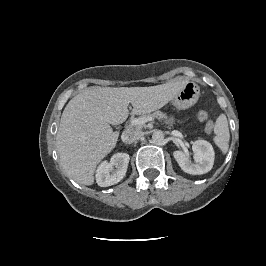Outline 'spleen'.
<instances>
[{"label": "spleen", "mask_w": 266, "mask_h": 266, "mask_svg": "<svg viewBox=\"0 0 266 266\" xmlns=\"http://www.w3.org/2000/svg\"><path fill=\"white\" fill-rule=\"evenodd\" d=\"M214 142L218 148L225 154L229 148L230 133L228 128V121L224 114H221L216 121L214 128Z\"/></svg>", "instance_id": "obj_1"}]
</instances>
